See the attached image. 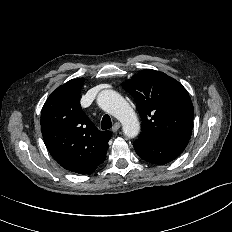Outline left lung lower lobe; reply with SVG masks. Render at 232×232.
<instances>
[{
	"label": "left lung lower lobe",
	"instance_id": "1",
	"mask_svg": "<svg viewBox=\"0 0 232 232\" xmlns=\"http://www.w3.org/2000/svg\"><path fill=\"white\" fill-rule=\"evenodd\" d=\"M189 140L170 138L161 140L136 139L134 149L139 157L147 162L164 165L177 158L187 146Z\"/></svg>",
	"mask_w": 232,
	"mask_h": 232
}]
</instances>
